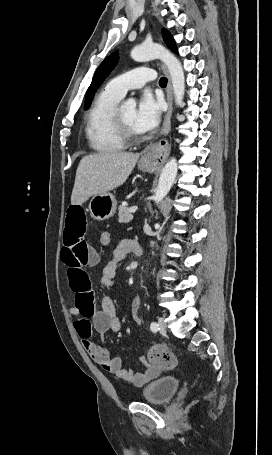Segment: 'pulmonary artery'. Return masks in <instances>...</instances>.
<instances>
[{
	"label": "pulmonary artery",
	"mask_w": 272,
	"mask_h": 455,
	"mask_svg": "<svg viewBox=\"0 0 272 455\" xmlns=\"http://www.w3.org/2000/svg\"><path fill=\"white\" fill-rule=\"evenodd\" d=\"M155 77L152 69L137 67L112 79L107 88L122 98L128 90L141 88L147 82L153 81Z\"/></svg>",
	"instance_id": "e3ab8cb5"
}]
</instances>
